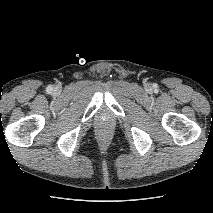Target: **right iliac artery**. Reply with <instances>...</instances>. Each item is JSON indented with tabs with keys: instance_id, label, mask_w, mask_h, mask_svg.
I'll use <instances>...</instances> for the list:
<instances>
[{
	"instance_id": "1",
	"label": "right iliac artery",
	"mask_w": 213,
	"mask_h": 213,
	"mask_svg": "<svg viewBox=\"0 0 213 213\" xmlns=\"http://www.w3.org/2000/svg\"><path fill=\"white\" fill-rule=\"evenodd\" d=\"M51 91H52V87H51V86H48V87H47V92L50 93Z\"/></svg>"
}]
</instances>
